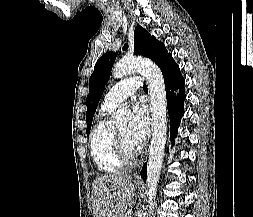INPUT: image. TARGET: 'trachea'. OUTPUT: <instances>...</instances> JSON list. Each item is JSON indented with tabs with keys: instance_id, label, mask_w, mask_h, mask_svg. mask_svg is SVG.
<instances>
[{
	"instance_id": "1",
	"label": "trachea",
	"mask_w": 253,
	"mask_h": 217,
	"mask_svg": "<svg viewBox=\"0 0 253 217\" xmlns=\"http://www.w3.org/2000/svg\"><path fill=\"white\" fill-rule=\"evenodd\" d=\"M143 89H144V90H148L147 85L144 84V85H143Z\"/></svg>"
}]
</instances>
